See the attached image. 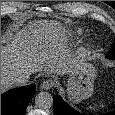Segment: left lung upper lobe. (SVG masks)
Returning <instances> with one entry per match:
<instances>
[{"label": "left lung upper lobe", "instance_id": "obj_1", "mask_svg": "<svg viewBox=\"0 0 115 115\" xmlns=\"http://www.w3.org/2000/svg\"><path fill=\"white\" fill-rule=\"evenodd\" d=\"M107 58L108 59H114L115 60V41H114V43H113V45H112V48H111V50L108 52V54H107Z\"/></svg>", "mask_w": 115, "mask_h": 115}]
</instances>
